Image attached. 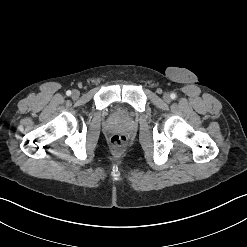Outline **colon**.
Segmentation results:
<instances>
[{
    "label": "colon",
    "mask_w": 247,
    "mask_h": 247,
    "mask_svg": "<svg viewBox=\"0 0 247 247\" xmlns=\"http://www.w3.org/2000/svg\"><path fill=\"white\" fill-rule=\"evenodd\" d=\"M126 137L122 135H114L111 137L110 142L115 147H122L126 144Z\"/></svg>",
    "instance_id": "5ec220e1"
}]
</instances>
